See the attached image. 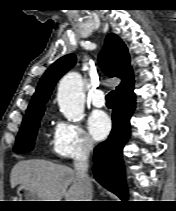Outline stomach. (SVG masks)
Segmentation results:
<instances>
[{
    "instance_id": "1",
    "label": "stomach",
    "mask_w": 176,
    "mask_h": 211,
    "mask_svg": "<svg viewBox=\"0 0 176 211\" xmlns=\"http://www.w3.org/2000/svg\"><path fill=\"white\" fill-rule=\"evenodd\" d=\"M16 192L20 199L19 201H42L36 193L32 192L23 185H20Z\"/></svg>"
}]
</instances>
